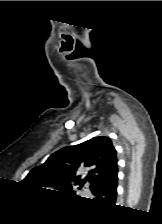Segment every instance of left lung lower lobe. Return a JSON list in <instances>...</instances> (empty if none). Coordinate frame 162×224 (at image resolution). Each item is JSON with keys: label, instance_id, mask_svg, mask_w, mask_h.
I'll use <instances>...</instances> for the list:
<instances>
[{"label": "left lung lower lobe", "instance_id": "0a47b994", "mask_svg": "<svg viewBox=\"0 0 162 224\" xmlns=\"http://www.w3.org/2000/svg\"><path fill=\"white\" fill-rule=\"evenodd\" d=\"M117 174L118 170L113 172L100 187L92 191L94 201L114 204L117 195Z\"/></svg>", "mask_w": 162, "mask_h": 224}]
</instances>
